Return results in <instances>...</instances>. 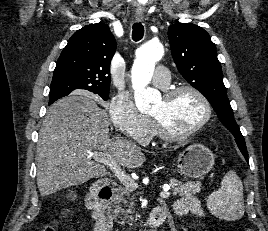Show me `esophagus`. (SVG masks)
Here are the masks:
<instances>
[{
	"mask_svg": "<svg viewBox=\"0 0 268 231\" xmlns=\"http://www.w3.org/2000/svg\"><path fill=\"white\" fill-rule=\"evenodd\" d=\"M143 18H144L143 15H136V16H135V19H136V21H138V22H139V21H142Z\"/></svg>",
	"mask_w": 268,
	"mask_h": 231,
	"instance_id": "esophagus-1",
	"label": "esophagus"
}]
</instances>
